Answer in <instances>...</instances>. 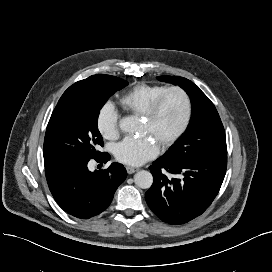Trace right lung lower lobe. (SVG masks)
<instances>
[{
	"label": "right lung lower lobe",
	"instance_id": "98d812e1",
	"mask_svg": "<svg viewBox=\"0 0 272 272\" xmlns=\"http://www.w3.org/2000/svg\"><path fill=\"white\" fill-rule=\"evenodd\" d=\"M106 163L108 153L94 158ZM90 159L72 157L44 158L49 189L59 206L70 215L88 219L103 212L111 203L127 172L122 164L112 163L108 169L91 172Z\"/></svg>",
	"mask_w": 272,
	"mask_h": 272
}]
</instances>
